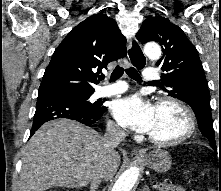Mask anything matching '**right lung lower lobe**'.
Here are the masks:
<instances>
[{
  "label": "right lung lower lobe",
  "mask_w": 221,
  "mask_h": 191,
  "mask_svg": "<svg viewBox=\"0 0 221 191\" xmlns=\"http://www.w3.org/2000/svg\"><path fill=\"white\" fill-rule=\"evenodd\" d=\"M102 104L103 102H100L97 109H88L72 92L65 90L41 91L37 98L30 137L42 124L58 118L72 119L90 126L96 123L107 110V107Z\"/></svg>",
  "instance_id": "98d812e1"
}]
</instances>
